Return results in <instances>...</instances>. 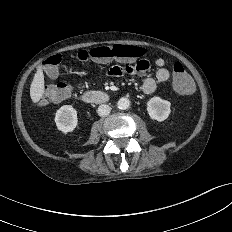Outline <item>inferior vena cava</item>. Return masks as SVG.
I'll list each match as a JSON object with an SVG mask.
<instances>
[{
	"label": "inferior vena cava",
	"instance_id": "1",
	"mask_svg": "<svg viewBox=\"0 0 232 232\" xmlns=\"http://www.w3.org/2000/svg\"><path fill=\"white\" fill-rule=\"evenodd\" d=\"M111 111V107L106 104H102L98 107L97 113L99 116H107Z\"/></svg>",
	"mask_w": 232,
	"mask_h": 232
}]
</instances>
